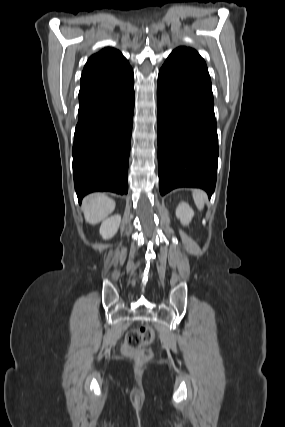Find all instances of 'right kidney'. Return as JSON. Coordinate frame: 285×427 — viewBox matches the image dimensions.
<instances>
[{"instance_id": "obj_1", "label": "right kidney", "mask_w": 285, "mask_h": 427, "mask_svg": "<svg viewBox=\"0 0 285 427\" xmlns=\"http://www.w3.org/2000/svg\"><path fill=\"white\" fill-rule=\"evenodd\" d=\"M121 223V216L114 215L104 220L100 227V235L103 239L112 238L118 231Z\"/></svg>"}]
</instances>
